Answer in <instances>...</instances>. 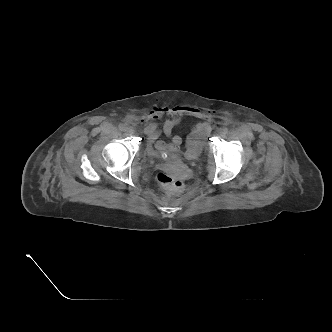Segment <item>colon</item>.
Listing matches in <instances>:
<instances>
[{
  "mask_svg": "<svg viewBox=\"0 0 332 332\" xmlns=\"http://www.w3.org/2000/svg\"><path fill=\"white\" fill-rule=\"evenodd\" d=\"M158 184L168 193H178L183 190L184 182L167 173L161 172L156 177Z\"/></svg>",
  "mask_w": 332,
  "mask_h": 332,
  "instance_id": "1",
  "label": "colon"
}]
</instances>
